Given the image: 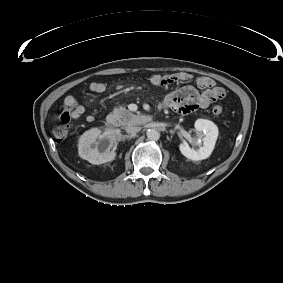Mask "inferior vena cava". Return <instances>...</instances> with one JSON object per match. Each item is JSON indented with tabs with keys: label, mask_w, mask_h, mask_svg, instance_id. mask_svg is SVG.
I'll return each instance as SVG.
<instances>
[{
	"label": "inferior vena cava",
	"mask_w": 283,
	"mask_h": 283,
	"mask_svg": "<svg viewBox=\"0 0 283 283\" xmlns=\"http://www.w3.org/2000/svg\"><path fill=\"white\" fill-rule=\"evenodd\" d=\"M140 129H141V128L138 127V126L129 125V126L126 127L125 130H126L127 133L134 134V133L139 132Z\"/></svg>",
	"instance_id": "602c4592"
}]
</instances>
